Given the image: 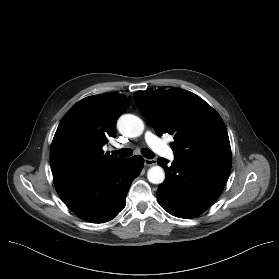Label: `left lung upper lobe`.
I'll return each instance as SVG.
<instances>
[{
	"label": "left lung upper lobe",
	"instance_id": "1",
	"mask_svg": "<svg viewBox=\"0 0 279 279\" xmlns=\"http://www.w3.org/2000/svg\"><path fill=\"white\" fill-rule=\"evenodd\" d=\"M134 100L158 135H174L175 157L231 166V147L220 115L190 91H137Z\"/></svg>",
	"mask_w": 279,
	"mask_h": 279
}]
</instances>
